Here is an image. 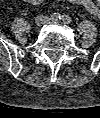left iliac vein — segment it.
<instances>
[{
    "label": "left iliac vein",
    "instance_id": "4c4485c4",
    "mask_svg": "<svg viewBox=\"0 0 100 118\" xmlns=\"http://www.w3.org/2000/svg\"><path fill=\"white\" fill-rule=\"evenodd\" d=\"M47 22L50 23V24H57V21H55L51 18H49Z\"/></svg>",
    "mask_w": 100,
    "mask_h": 118
}]
</instances>
